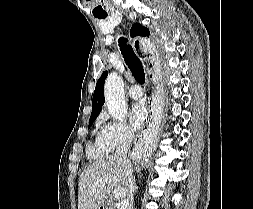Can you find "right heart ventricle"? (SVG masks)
I'll return each mask as SVG.
<instances>
[{"instance_id": "1", "label": "right heart ventricle", "mask_w": 253, "mask_h": 209, "mask_svg": "<svg viewBox=\"0 0 253 209\" xmlns=\"http://www.w3.org/2000/svg\"><path fill=\"white\" fill-rule=\"evenodd\" d=\"M109 150L97 138L95 144L88 146V155L91 157H100L106 154Z\"/></svg>"}]
</instances>
